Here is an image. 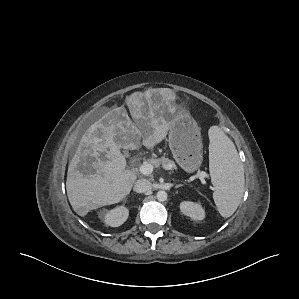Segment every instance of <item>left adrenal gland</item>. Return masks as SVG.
Masks as SVG:
<instances>
[{
	"instance_id": "left-adrenal-gland-1",
	"label": "left adrenal gland",
	"mask_w": 299,
	"mask_h": 299,
	"mask_svg": "<svg viewBox=\"0 0 299 299\" xmlns=\"http://www.w3.org/2000/svg\"><path fill=\"white\" fill-rule=\"evenodd\" d=\"M181 186H183V184H178V185L175 186V188H179Z\"/></svg>"
}]
</instances>
